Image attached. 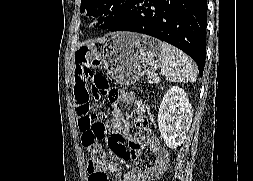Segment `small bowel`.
Returning a JSON list of instances; mask_svg holds the SVG:
<instances>
[{
	"mask_svg": "<svg viewBox=\"0 0 253 181\" xmlns=\"http://www.w3.org/2000/svg\"><path fill=\"white\" fill-rule=\"evenodd\" d=\"M89 70L83 65H76L74 73V99L76 104V114L79 116L81 99L87 91V81ZM119 103L133 104L135 111L139 115L136 119L137 125L141 128L138 136H130L128 132L129 121L119 108L112 110V120L110 123L109 148L111 154L116 158L112 160H103L99 164L88 162L87 172L88 181H111L108 173L116 176L119 181H153L167 170L170 163V156L167 150L161 147L159 140L154 136L146 121L141 115L145 112V105L142 101L136 100L132 92H122L119 96ZM128 140V147L123 144ZM145 148L148 149L153 157V161L142 170L140 167H134L126 172L123 171L119 161L137 159Z\"/></svg>",
	"mask_w": 253,
	"mask_h": 181,
	"instance_id": "c3829d8e",
	"label": "small bowel"
}]
</instances>
